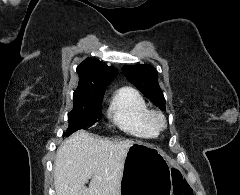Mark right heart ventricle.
Returning <instances> with one entry per match:
<instances>
[{"label": "right heart ventricle", "mask_w": 240, "mask_h": 195, "mask_svg": "<svg viewBox=\"0 0 240 195\" xmlns=\"http://www.w3.org/2000/svg\"><path fill=\"white\" fill-rule=\"evenodd\" d=\"M113 126L136 137H154L157 130L150 122V110L144 97L133 88L116 92L107 110Z\"/></svg>", "instance_id": "obj_1"}]
</instances>
